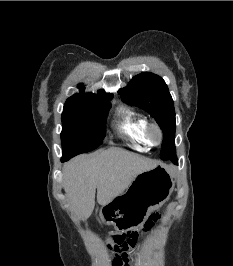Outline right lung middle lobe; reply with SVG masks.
Here are the masks:
<instances>
[{
  "mask_svg": "<svg viewBox=\"0 0 233 266\" xmlns=\"http://www.w3.org/2000/svg\"><path fill=\"white\" fill-rule=\"evenodd\" d=\"M112 97L66 103L62 113V152L67 160L102 144Z\"/></svg>",
  "mask_w": 233,
  "mask_h": 266,
  "instance_id": "1",
  "label": "right lung middle lobe"
}]
</instances>
